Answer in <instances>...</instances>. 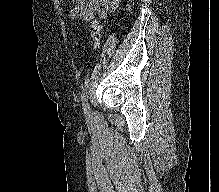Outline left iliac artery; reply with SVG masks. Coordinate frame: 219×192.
<instances>
[{"label":"left iliac artery","mask_w":219,"mask_h":192,"mask_svg":"<svg viewBox=\"0 0 219 192\" xmlns=\"http://www.w3.org/2000/svg\"><path fill=\"white\" fill-rule=\"evenodd\" d=\"M88 92H89V83L85 82V85L82 88L81 101L85 114L89 116Z\"/></svg>","instance_id":"44dca946"}]
</instances>
